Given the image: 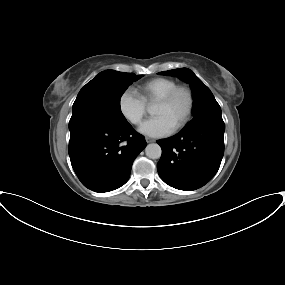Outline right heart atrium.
Instances as JSON below:
<instances>
[{
    "mask_svg": "<svg viewBox=\"0 0 285 285\" xmlns=\"http://www.w3.org/2000/svg\"><path fill=\"white\" fill-rule=\"evenodd\" d=\"M118 108L122 117L132 125H139L147 111L145 102L131 89L121 93Z\"/></svg>",
    "mask_w": 285,
    "mask_h": 285,
    "instance_id": "right-heart-atrium-1",
    "label": "right heart atrium"
}]
</instances>
